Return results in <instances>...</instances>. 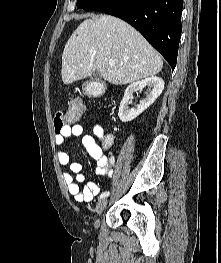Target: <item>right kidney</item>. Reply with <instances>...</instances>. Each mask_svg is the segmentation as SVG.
<instances>
[{
  "label": "right kidney",
  "instance_id": "ca27d5eb",
  "mask_svg": "<svg viewBox=\"0 0 221 263\" xmlns=\"http://www.w3.org/2000/svg\"><path fill=\"white\" fill-rule=\"evenodd\" d=\"M146 86L152 89L136 108H129L130 99L134 92L143 90ZM164 89V81L160 77H149L129 85L120 103L118 116L122 122H130L145 111L160 96Z\"/></svg>",
  "mask_w": 221,
  "mask_h": 263
}]
</instances>
